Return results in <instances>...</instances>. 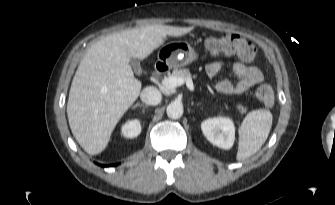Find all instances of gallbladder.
<instances>
[{"mask_svg":"<svg viewBox=\"0 0 335 205\" xmlns=\"http://www.w3.org/2000/svg\"><path fill=\"white\" fill-rule=\"evenodd\" d=\"M130 64L131 66L133 67L134 71L137 73V74H141L142 73V67L140 65V62L137 58H131L130 59Z\"/></svg>","mask_w":335,"mask_h":205,"instance_id":"bac80fb5","label":"gallbladder"}]
</instances>
